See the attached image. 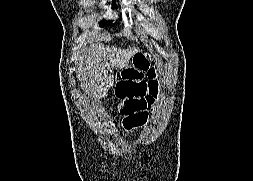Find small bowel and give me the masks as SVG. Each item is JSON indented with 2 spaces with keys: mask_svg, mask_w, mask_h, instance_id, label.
Segmentation results:
<instances>
[{
  "mask_svg": "<svg viewBox=\"0 0 253 181\" xmlns=\"http://www.w3.org/2000/svg\"><path fill=\"white\" fill-rule=\"evenodd\" d=\"M147 84V92H148V98L153 101V99L156 97L158 92V81L156 79V73L154 71H150L148 74V79H146Z\"/></svg>",
  "mask_w": 253,
  "mask_h": 181,
  "instance_id": "obj_1",
  "label": "small bowel"
}]
</instances>
